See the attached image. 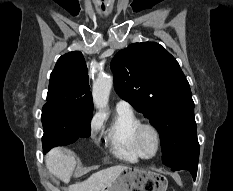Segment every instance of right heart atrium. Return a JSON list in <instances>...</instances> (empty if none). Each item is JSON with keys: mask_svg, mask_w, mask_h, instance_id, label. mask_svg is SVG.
<instances>
[{"mask_svg": "<svg viewBox=\"0 0 233 191\" xmlns=\"http://www.w3.org/2000/svg\"><path fill=\"white\" fill-rule=\"evenodd\" d=\"M101 125H102V120L100 116L98 115L94 116L90 123V133L92 137H94L97 134V132L101 128Z\"/></svg>", "mask_w": 233, "mask_h": 191, "instance_id": "1", "label": "right heart atrium"}]
</instances>
